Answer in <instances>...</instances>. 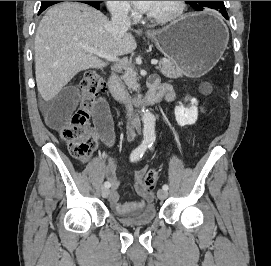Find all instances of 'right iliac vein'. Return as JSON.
Segmentation results:
<instances>
[{
  "instance_id": "1",
  "label": "right iliac vein",
  "mask_w": 271,
  "mask_h": 266,
  "mask_svg": "<svg viewBox=\"0 0 271 266\" xmlns=\"http://www.w3.org/2000/svg\"><path fill=\"white\" fill-rule=\"evenodd\" d=\"M109 193H110V190H109L108 187L103 186L101 188V195H102L103 198L108 197Z\"/></svg>"
}]
</instances>
